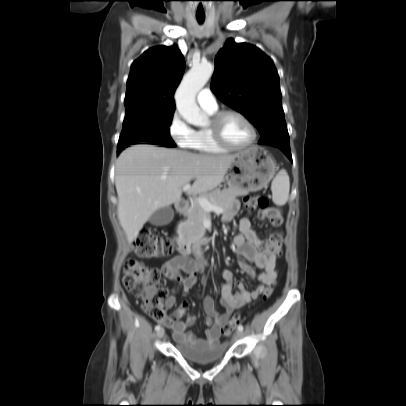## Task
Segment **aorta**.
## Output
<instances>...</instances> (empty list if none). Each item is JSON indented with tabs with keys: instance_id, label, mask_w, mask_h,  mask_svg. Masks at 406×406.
<instances>
[{
	"instance_id": "obj_1",
	"label": "aorta",
	"mask_w": 406,
	"mask_h": 406,
	"mask_svg": "<svg viewBox=\"0 0 406 406\" xmlns=\"http://www.w3.org/2000/svg\"><path fill=\"white\" fill-rule=\"evenodd\" d=\"M213 71L214 65L210 62L194 65L183 77L175 93L179 114L192 125L203 126L207 122V118L196 104L195 98L210 79Z\"/></svg>"
}]
</instances>
